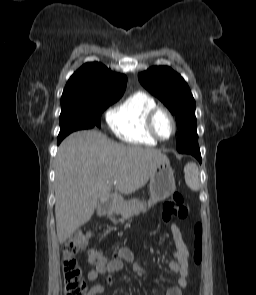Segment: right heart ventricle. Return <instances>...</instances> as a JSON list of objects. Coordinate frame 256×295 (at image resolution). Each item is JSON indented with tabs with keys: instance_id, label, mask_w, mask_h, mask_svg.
<instances>
[{
	"instance_id": "right-heart-ventricle-1",
	"label": "right heart ventricle",
	"mask_w": 256,
	"mask_h": 295,
	"mask_svg": "<svg viewBox=\"0 0 256 295\" xmlns=\"http://www.w3.org/2000/svg\"><path fill=\"white\" fill-rule=\"evenodd\" d=\"M158 107L155 99L143 91H137L116 105L108 114L112 132L121 140L154 146L157 140L147 129L148 113Z\"/></svg>"
}]
</instances>
